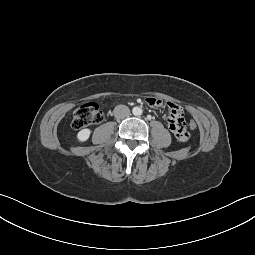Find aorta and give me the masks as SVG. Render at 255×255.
Masks as SVG:
<instances>
[{
    "label": "aorta",
    "instance_id": "1",
    "mask_svg": "<svg viewBox=\"0 0 255 255\" xmlns=\"http://www.w3.org/2000/svg\"><path fill=\"white\" fill-rule=\"evenodd\" d=\"M132 113L135 115V116H140L142 114V109L140 107H134L132 109Z\"/></svg>",
    "mask_w": 255,
    "mask_h": 255
}]
</instances>
